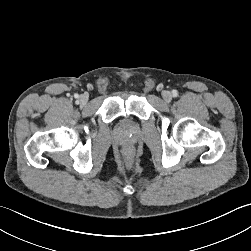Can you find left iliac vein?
Here are the masks:
<instances>
[{"label":"left iliac vein","mask_w":251,"mask_h":251,"mask_svg":"<svg viewBox=\"0 0 251 251\" xmlns=\"http://www.w3.org/2000/svg\"><path fill=\"white\" fill-rule=\"evenodd\" d=\"M163 99H164L166 102H170L171 99H172V94H171V92H169V91H164V92H163Z\"/></svg>","instance_id":"4c4485c4"}]
</instances>
